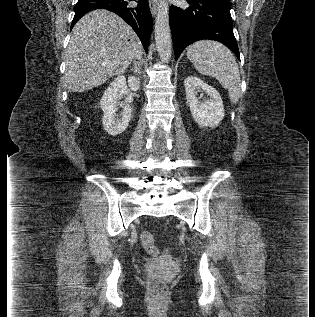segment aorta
<instances>
[{
	"label": "aorta",
	"instance_id": "aorta-1",
	"mask_svg": "<svg viewBox=\"0 0 315 317\" xmlns=\"http://www.w3.org/2000/svg\"><path fill=\"white\" fill-rule=\"evenodd\" d=\"M155 42L158 54L164 62H168L172 53V40L169 26V7L165 0L158 5L155 20Z\"/></svg>",
	"mask_w": 315,
	"mask_h": 317
}]
</instances>
